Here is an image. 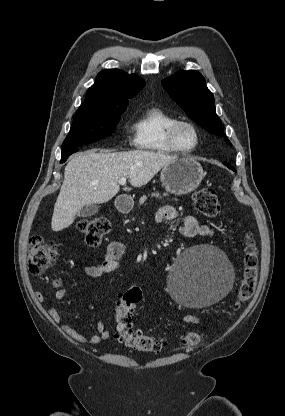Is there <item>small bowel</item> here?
Here are the masks:
<instances>
[{"label": "small bowel", "instance_id": "obj_1", "mask_svg": "<svg viewBox=\"0 0 285 416\" xmlns=\"http://www.w3.org/2000/svg\"><path fill=\"white\" fill-rule=\"evenodd\" d=\"M178 217L177 211L171 206L161 207L156 214V221L161 223L163 221H173ZM181 234L186 238H193L196 236H211L214 231L207 225L201 224L193 216H185L183 219V224L180 228ZM124 245L119 241L110 242L105 250L104 259L101 263L88 265L85 267L84 271L88 277H99L103 274H108L115 271L118 268L119 259L124 253ZM68 294V290L65 287L59 288L55 293L56 300L64 299ZM38 301H44V295L41 292L36 293ZM48 314L50 318L57 324L60 325L62 332L70 337L71 339L89 345H96L103 340H109L113 333L107 329L105 324L102 321L97 323V333L84 336L69 324L64 322L61 318L60 313L55 306L51 305L48 308ZM184 321L190 324H196L200 321V317L197 315H188L184 318Z\"/></svg>", "mask_w": 285, "mask_h": 416}]
</instances>
